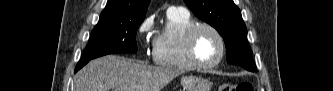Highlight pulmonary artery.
<instances>
[{"label":"pulmonary artery","mask_w":333,"mask_h":91,"mask_svg":"<svg viewBox=\"0 0 333 91\" xmlns=\"http://www.w3.org/2000/svg\"><path fill=\"white\" fill-rule=\"evenodd\" d=\"M175 10H178V11H186L184 8L182 7H170L168 9V11H175Z\"/></svg>","instance_id":"pulmonary-artery-1"}]
</instances>
